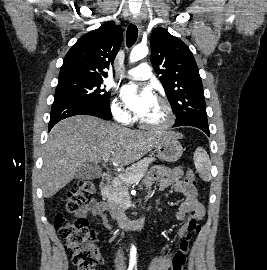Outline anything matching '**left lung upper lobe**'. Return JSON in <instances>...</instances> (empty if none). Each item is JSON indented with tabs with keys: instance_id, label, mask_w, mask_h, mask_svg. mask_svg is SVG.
Returning a JSON list of instances; mask_svg holds the SVG:
<instances>
[{
	"instance_id": "left-lung-upper-lobe-1",
	"label": "left lung upper lobe",
	"mask_w": 267,
	"mask_h": 270,
	"mask_svg": "<svg viewBox=\"0 0 267 270\" xmlns=\"http://www.w3.org/2000/svg\"><path fill=\"white\" fill-rule=\"evenodd\" d=\"M150 60L160 76L173 112L175 123L190 120L207 122L203 86L194 56L188 46L164 28L150 38Z\"/></svg>"
}]
</instances>
